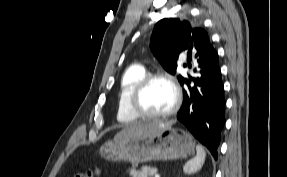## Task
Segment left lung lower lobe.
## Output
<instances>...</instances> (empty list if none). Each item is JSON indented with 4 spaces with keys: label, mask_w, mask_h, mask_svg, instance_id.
<instances>
[{
    "label": "left lung lower lobe",
    "mask_w": 287,
    "mask_h": 177,
    "mask_svg": "<svg viewBox=\"0 0 287 177\" xmlns=\"http://www.w3.org/2000/svg\"><path fill=\"white\" fill-rule=\"evenodd\" d=\"M195 72L199 76H189L183 84V104L177 118L217 160L225 124V98L218 54L213 47Z\"/></svg>",
    "instance_id": "1"
}]
</instances>
